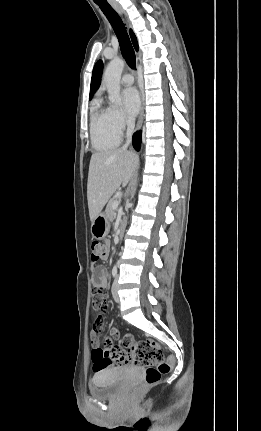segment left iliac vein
Wrapping results in <instances>:
<instances>
[{"mask_svg": "<svg viewBox=\"0 0 261 431\" xmlns=\"http://www.w3.org/2000/svg\"><path fill=\"white\" fill-rule=\"evenodd\" d=\"M118 288H119V284H118V276H117L112 286V295L116 302H119Z\"/></svg>", "mask_w": 261, "mask_h": 431, "instance_id": "obj_1", "label": "left iliac vein"}]
</instances>
